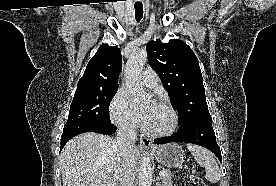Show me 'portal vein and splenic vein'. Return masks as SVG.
<instances>
[{
	"label": "portal vein and splenic vein",
	"instance_id": "portal-vein-and-splenic-vein-1",
	"mask_svg": "<svg viewBox=\"0 0 276 186\" xmlns=\"http://www.w3.org/2000/svg\"><path fill=\"white\" fill-rule=\"evenodd\" d=\"M159 175H160V177H164L167 175V173H166V171L163 170V171H160Z\"/></svg>",
	"mask_w": 276,
	"mask_h": 186
}]
</instances>
